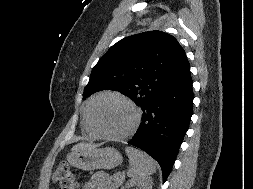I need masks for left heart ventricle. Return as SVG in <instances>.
<instances>
[{"label": "left heart ventricle", "mask_w": 253, "mask_h": 189, "mask_svg": "<svg viewBox=\"0 0 253 189\" xmlns=\"http://www.w3.org/2000/svg\"><path fill=\"white\" fill-rule=\"evenodd\" d=\"M94 118L103 131L119 135L131 127L134 121V112L122 100L106 97L96 104Z\"/></svg>", "instance_id": "b2bd125f"}]
</instances>
